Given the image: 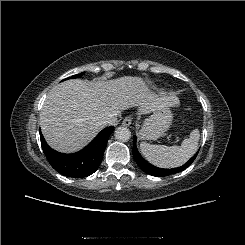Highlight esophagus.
Returning a JSON list of instances; mask_svg holds the SVG:
<instances>
[{
    "label": "esophagus",
    "mask_w": 245,
    "mask_h": 245,
    "mask_svg": "<svg viewBox=\"0 0 245 245\" xmlns=\"http://www.w3.org/2000/svg\"><path fill=\"white\" fill-rule=\"evenodd\" d=\"M131 123H132V117L131 116L125 117L124 120H123V122H122V124L124 126H130Z\"/></svg>",
    "instance_id": "1"
}]
</instances>
